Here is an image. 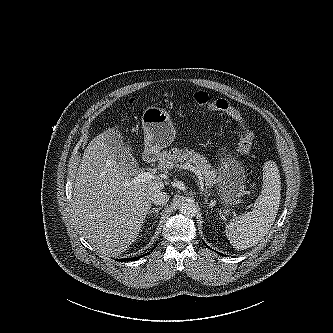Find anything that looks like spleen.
<instances>
[{"instance_id": "1", "label": "spleen", "mask_w": 333, "mask_h": 333, "mask_svg": "<svg viewBox=\"0 0 333 333\" xmlns=\"http://www.w3.org/2000/svg\"><path fill=\"white\" fill-rule=\"evenodd\" d=\"M280 192L278 166L269 160L264 163L263 186L252 211L236 217L226 226V236L236 250L255 246L269 233L278 213Z\"/></svg>"}]
</instances>
